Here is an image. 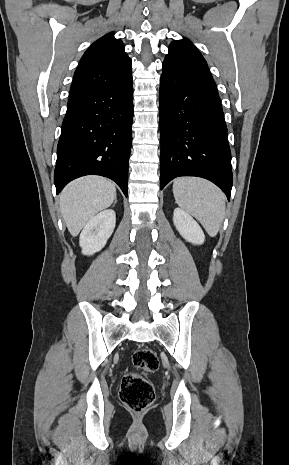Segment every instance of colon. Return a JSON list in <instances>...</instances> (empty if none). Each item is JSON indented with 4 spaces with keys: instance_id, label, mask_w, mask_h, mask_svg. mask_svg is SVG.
Masks as SVG:
<instances>
[{
    "instance_id": "obj_1",
    "label": "colon",
    "mask_w": 289,
    "mask_h": 465,
    "mask_svg": "<svg viewBox=\"0 0 289 465\" xmlns=\"http://www.w3.org/2000/svg\"><path fill=\"white\" fill-rule=\"evenodd\" d=\"M132 362L141 374L136 372L124 374L121 381L120 399L129 410L140 413L155 399L154 388L144 375L158 370L159 359L153 350L141 348L134 352Z\"/></svg>"
}]
</instances>
